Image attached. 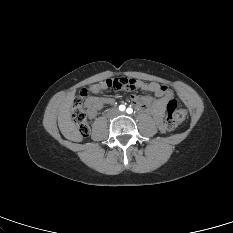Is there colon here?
<instances>
[{
  "label": "colon",
  "instance_id": "5ec220e1",
  "mask_svg": "<svg viewBox=\"0 0 233 233\" xmlns=\"http://www.w3.org/2000/svg\"><path fill=\"white\" fill-rule=\"evenodd\" d=\"M136 80L131 78H115L105 81L106 88L116 91L132 90L135 88ZM93 93L90 89L84 88L75 98L72 119L76 124L81 136L86 137L89 134V125L87 121L88 108ZM167 118L164 127L167 131L175 130L187 118V111L183 108H177V103L171 99L167 103Z\"/></svg>",
  "mask_w": 233,
  "mask_h": 233
}]
</instances>
